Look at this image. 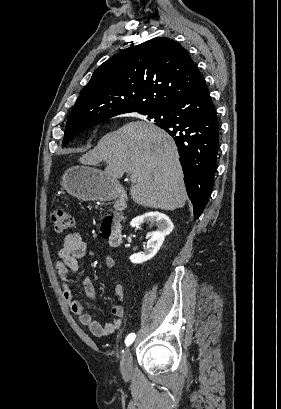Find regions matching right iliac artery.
<instances>
[{
    "instance_id": "1",
    "label": "right iliac artery",
    "mask_w": 281,
    "mask_h": 409,
    "mask_svg": "<svg viewBox=\"0 0 281 409\" xmlns=\"http://www.w3.org/2000/svg\"><path fill=\"white\" fill-rule=\"evenodd\" d=\"M134 339H135V334L134 333L129 334L125 340L126 345L127 346L130 345L134 341Z\"/></svg>"
}]
</instances>
